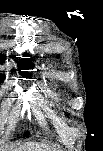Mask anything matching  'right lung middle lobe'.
Returning <instances> with one entry per match:
<instances>
[{
    "label": "right lung middle lobe",
    "mask_w": 103,
    "mask_h": 151,
    "mask_svg": "<svg viewBox=\"0 0 103 151\" xmlns=\"http://www.w3.org/2000/svg\"><path fill=\"white\" fill-rule=\"evenodd\" d=\"M28 136V132L24 134V137Z\"/></svg>",
    "instance_id": "obj_1"
}]
</instances>
